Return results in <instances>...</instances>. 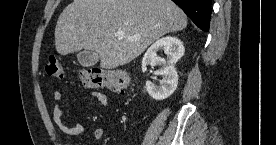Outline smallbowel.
<instances>
[{
	"label": "small bowel",
	"mask_w": 276,
	"mask_h": 145,
	"mask_svg": "<svg viewBox=\"0 0 276 145\" xmlns=\"http://www.w3.org/2000/svg\"><path fill=\"white\" fill-rule=\"evenodd\" d=\"M90 95L98 100L100 104L104 107H108L109 99L101 92H91ZM53 99L55 105L53 108V120L57 127L66 135V140L69 141L72 136L80 135L84 131V126L79 122H74L72 124H67L63 118V109L61 106V101L63 99V94L60 91H55L53 93ZM105 135V131L102 128H95L91 131V136L95 139H101Z\"/></svg>",
	"instance_id": "small-bowel-1"
}]
</instances>
